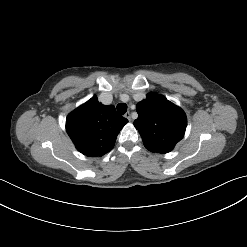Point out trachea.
Masks as SVG:
<instances>
[{
	"instance_id": "3493384b",
	"label": "trachea",
	"mask_w": 247,
	"mask_h": 247,
	"mask_svg": "<svg viewBox=\"0 0 247 247\" xmlns=\"http://www.w3.org/2000/svg\"><path fill=\"white\" fill-rule=\"evenodd\" d=\"M117 111L120 113V114H124L126 111H127V105L125 103H119L117 105Z\"/></svg>"
}]
</instances>
